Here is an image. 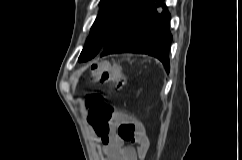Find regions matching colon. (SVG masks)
I'll use <instances>...</instances> for the list:
<instances>
[{
    "label": "colon",
    "instance_id": "1",
    "mask_svg": "<svg viewBox=\"0 0 242 160\" xmlns=\"http://www.w3.org/2000/svg\"><path fill=\"white\" fill-rule=\"evenodd\" d=\"M90 75L98 83L115 84L119 88L124 83V75L117 64L106 61L96 62L90 66ZM89 122L94 127L97 134H103L109 127L113 119V109L100 97L93 93L88 100ZM135 131L133 125H123L121 132L125 140L130 141Z\"/></svg>",
    "mask_w": 242,
    "mask_h": 160
}]
</instances>
